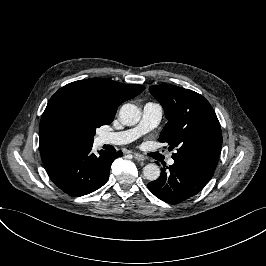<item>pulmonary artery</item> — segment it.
Returning <instances> with one entry per match:
<instances>
[{
	"mask_svg": "<svg viewBox=\"0 0 266 266\" xmlns=\"http://www.w3.org/2000/svg\"><path fill=\"white\" fill-rule=\"evenodd\" d=\"M163 109L159 103L147 102L143 106L142 116L139 124L133 128L122 132L104 133L101 135L103 144L124 145L136 140L141 135L153 130L160 123ZM169 165L174 164V159H168Z\"/></svg>",
	"mask_w": 266,
	"mask_h": 266,
	"instance_id": "1",
	"label": "pulmonary artery"
}]
</instances>
